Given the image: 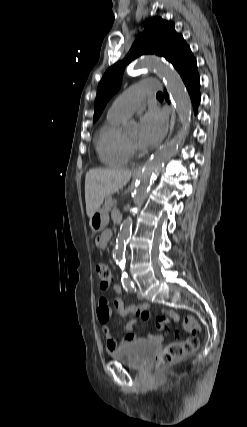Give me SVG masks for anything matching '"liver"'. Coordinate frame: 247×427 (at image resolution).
Segmentation results:
<instances>
[{"instance_id": "1", "label": "liver", "mask_w": 247, "mask_h": 427, "mask_svg": "<svg viewBox=\"0 0 247 427\" xmlns=\"http://www.w3.org/2000/svg\"><path fill=\"white\" fill-rule=\"evenodd\" d=\"M132 172L125 169L93 168L85 177L86 213L91 217L100 209L104 198L123 188Z\"/></svg>"}]
</instances>
